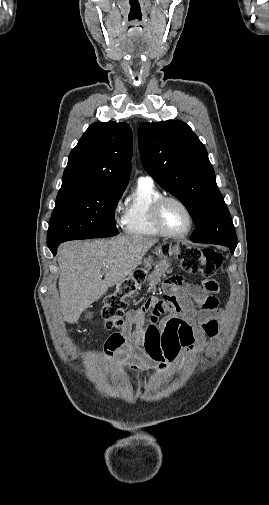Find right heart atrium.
Instances as JSON below:
<instances>
[{"label": "right heart atrium", "instance_id": "1", "mask_svg": "<svg viewBox=\"0 0 269 505\" xmlns=\"http://www.w3.org/2000/svg\"><path fill=\"white\" fill-rule=\"evenodd\" d=\"M121 206H122V197H119L114 205L115 220L116 223L118 224L123 222V217L120 216Z\"/></svg>", "mask_w": 269, "mask_h": 505}]
</instances>
